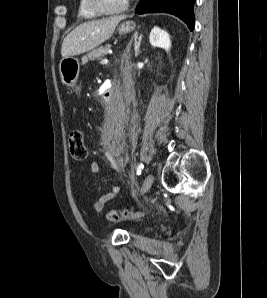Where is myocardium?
<instances>
[{
  "label": "myocardium",
  "mask_w": 267,
  "mask_h": 298,
  "mask_svg": "<svg viewBox=\"0 0 267 298\" xmlns=\"http://www.w3.org/2000/svg\"><path fill=\"white\" fill-rule=\"evenodd\" d=\"M89 8L98 15L112 16L125 12L129 6L130 0H126L124 4L116 10H107L100 0H87Z\"/></svg>",
  "instance_id": "1"
}]
</instances>
